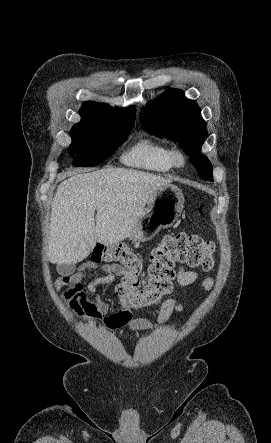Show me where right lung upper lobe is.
Masks as SVG:
<instances>
[{
  "label": "right lung upper lobe",
  "instance_id": "1",
  "mask_svg": "<svg viewBox=\"0 0 271 443\" xmlns=\"http://www.w3.org/2000/svg\"><path fill=\"white\" fill-rule=\"evenodd\" d=\"M135 107L130 106L125 109L111 107L105 103H96L92 101L84 102L79 113L81 121L91 118H114V119H133L135 120Z\"/></svg>",
  "mask_w": 271,
  "mask_h": 443
}]
</instances>
